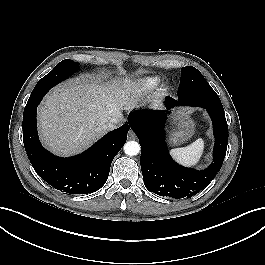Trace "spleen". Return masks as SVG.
Returning a JSON list of instances; mask_svg holds the SVG:
<instances>
[{
	"mask_svg": "<svg viewBox=\"0 0 265 265\" xmlns=\"http://www.w3.org/2000/svg\"><path fill=\"white\" fill-rule=\"evenodd\" d=\"M203 151L204 141L198 139L189 146L172 149L170 153L181 164L194 166L200 161Z\"/></svg>",
	"mask_w": 265,
	"mask_h": 265,
	"instance_id": "spleen-1",
	"label": "spleen"
}]
</instances>
